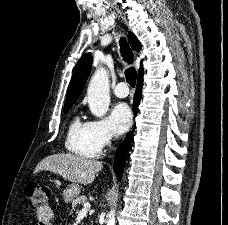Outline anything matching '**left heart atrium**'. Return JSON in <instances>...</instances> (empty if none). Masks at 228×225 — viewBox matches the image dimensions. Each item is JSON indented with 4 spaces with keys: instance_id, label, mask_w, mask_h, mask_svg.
Masks as SVG:
<instances>
[{
    "instance_id": "39dd6f15",
    "label": "left heart atrium",
    "mask_w": 228,
    "mask_h": 225,
    "mask_svg": "<svg viewBox=\"0 0 228 225\" xmlns=\"http://www.w3.org/2000/svg\"><path fill=\"white\" fill-rule=\"evenodd\" d=\"M132 121V114L130 108L124 104L119 103L111 111V123L114 131L117 134H122L127 131Z\"/></svg>"
}]
</instances>
